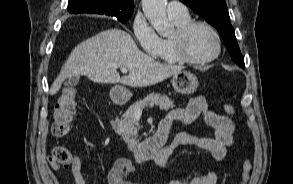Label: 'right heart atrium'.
Segmentation results:
<instances>
[{"label": "right heart atrium", "instance_id": "right-heart-atrium-1", "mask_svg": "<svg viewBox=\"0 0 293 184\" xmlns=\"http://www.w3.org/2000/svg\"><path fill=\"white\" fill-rule=\"evenodd\" d=\"M132 32L142 50L150 56H155L160 47V37L142 14L135 16L132 22Z\"/></svg>", "mask_w": 293, "mask_h": 184}]
</instances>
